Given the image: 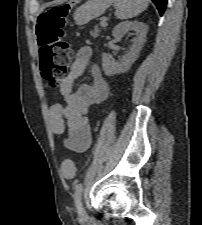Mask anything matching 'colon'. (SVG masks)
<instances>
[{
  "mask_svg": "<svg viewBox=\"0 0 202 225\" xmlns=\"http://www.w3.org/2000/svg\"><path fill=\"white\" fill-rule=\"evenodd\" d=\"M66 6L47 9L37 16L35 34L41 55L40 70L43 79L51 88H58L72 60L70 44L65 36ZM66 179L75 177V166L71 159H65L60 167Z\"/></svg>",
  "mask_w": 202,
  "mask_h": 225,
  "instance_id": "colon-1",
  "label": "colon"
}]
</instances>
